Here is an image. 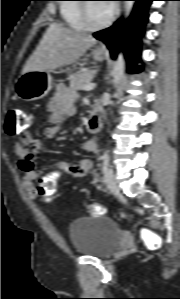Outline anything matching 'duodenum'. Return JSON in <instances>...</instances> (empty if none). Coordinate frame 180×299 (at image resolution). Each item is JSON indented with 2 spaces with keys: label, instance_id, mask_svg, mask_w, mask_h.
<instances>
[{
  "label": "duodenum",
  "instance_id": "410a0bca",
  "mask_svg": "<svg viewBox=\"0 0 180 299\" xmlns=\"http://www.w3.org/2000/svg\"><path fill=\"white\" fill-rule=\"evenodd\" d=\"M104 115L100 111H93L88 120V128L92 132H98L102 122Z\"/></svg>",
  "mask_w": 180,
  "mask_h": 299
}]
</instances>
